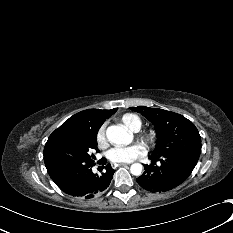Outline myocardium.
Listing matches in <instances>:
<instances>
[{
  "label": "myocardium",
  "instance_id": "1",
  "mask_svg": "<svg viewBox=\"0 0 233 233\" xmlns=\"http://www.w3.org/2000/svg\"><path fill=\"white\" fill-rule=\"evenodd\" d=\"M138 132V131H137ZM137 137L147 146H153L156 141V132L153 129L140 131Z\"/></svg>",
  "mask_w": 233,
  "mask_h": 233
}]
</instances>
